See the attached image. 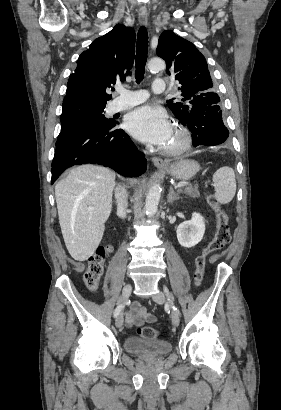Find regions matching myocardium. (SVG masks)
I'll list each match as a JSON object with an SVG mask.
<instances>
[{"label": "myocardium", "instance_id": "1", "mask_svg": "<svg viewBox=\"0 0 281 410\" xmlns=\"http://www.w3.org/2000/svg\"><path fill=\"white\" fill-rule=\"evenodd\" d=\"M173 131L179 137V142L172 148L162 147L160 151L167 156H177L186 152L192 144L191 132L182 124L176 123Z\"/></svg>", "mask_w": 281, "mask_h": 410}]
</instances>
